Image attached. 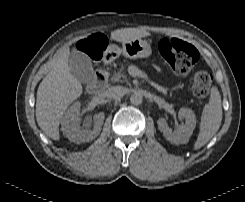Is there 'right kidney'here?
Listing matches in <instances>:
<instances>
[{
  "mask_svg": "<svg viewBox=\"0 0 245 202\" xmlns=\"http://www.w3.org/2000/svg\"><path fill=\"white\" fill-rule=\"evenodd\" d=\"M105 116L103 113L94 115V126L91 130L92 122L87 120L83 127H80V103L75 102L66 111L61 119V130L63 134L71 141L75 143L89 142L95 139L101 132Z\"/></svg>",
  "mask_w": 245,
  "mask_h": 202,
  "instance_id": "obj_1",
  "label": "right kidney"
}]
</instances>
